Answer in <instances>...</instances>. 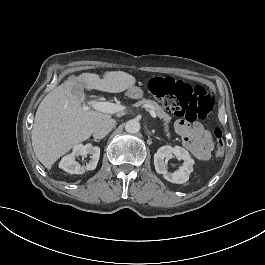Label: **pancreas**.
<instances>
[{
    "instance_id": "pancreas-1",
    "label": "pancreas",
    "mask_w": 265,
    "mask_h": 265,
    "mask_svg": "<svg viewBox=\"0 0 265 265\" xmlns=\"http://www.w3.org/2000/svg\"><path fill=\"white\" fill-rule=\"evenodd\" d=\"M141 105H146L147 110H154L157 116L165 121V131L167 132V137L170 138V133L168 132V123L170 122L171 117L166 112H164V110L161 106L158 105V103L153 100L142 99L135 103L133 106L139 107Z\"/></svg>"
}]
</instances>
